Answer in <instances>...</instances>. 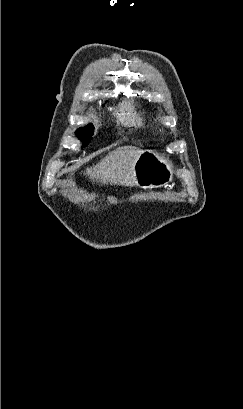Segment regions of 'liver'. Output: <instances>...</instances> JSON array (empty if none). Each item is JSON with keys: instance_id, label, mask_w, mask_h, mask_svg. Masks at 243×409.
<instances>
[{"instance_id": "liver-1", "label": "liver", "mask_w": 243, "mask_h": 409, "mask_svg": "<svg viewBox=\"0 0 243 409\" xmlns=\"http://www.w3.org/2000/svg\"><path fill=\"white\" fill-rule=\"evenodd\" d=\"M141 153L142 150L136 147H120L110 152L95 166L87 168L84 174L101 184L134 186L136 184L134 165Z\"/></svg>"}]
</instances>
